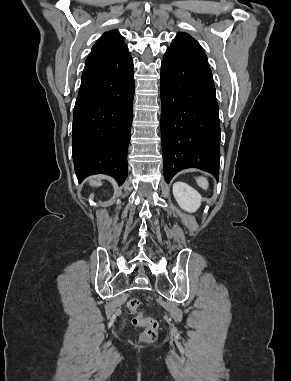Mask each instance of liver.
Instances as JSON below:
<instances>
[{
  "label": "liver",
  "mask_w": 291,
  "mask_h": 381,
  "mask_svg": "<svg viewBox=\"0 0 291 381\" xmlns=\"http://www.w3.org/2000/svg\"><path fill=\"white\" fill-rule=\"evenodd\" d=\"M90 184L91 185H94V186H100L101 185V182L100 181H95L93 179H90Z\"/></svg>",
  "instance_id": "6515ba94"
}]
</instances>
